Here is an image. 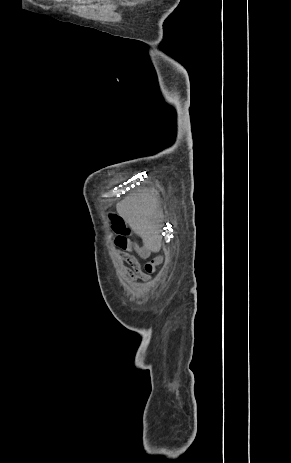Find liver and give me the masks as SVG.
I'll list each match as a JSON object with an SVG mask.
<instances>
[{"label":"liver","instance_id":"liver-1","mask_svg":"<svg viewBox=\"0 0 291 463\" xmlns=\"http://www.w3.org/2000/svg\"><path fill=\"white\" fill-rule=\"evenodd\" d=\"M118 214L139 235L145 249L158 252L161 249L160 215L157 199L148 191L126 197L116 205Z\"/></svg>","mask_w":291,"mask_h":463}]
</instances>
